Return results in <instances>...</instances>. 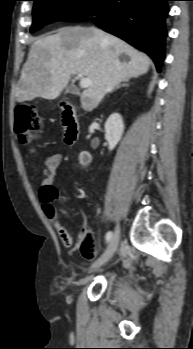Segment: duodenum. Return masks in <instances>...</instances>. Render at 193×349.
I'll list each match as a JSON object with an SVG mask.
<instances>
[{"instance_id":"obj_1","label":"duodenum","mask_w":193,"mask_h":349,"mask_svg":"<svg viewBox=\"0 0 193 349\" xmlns=\"http://www.w3.org/2000/svg\"><path fill=\"white\" fill-rule=\"evenodd\" d=\"M61 109L65 128L64 140L68 145H72L78 140L80 130L76 108L70 103L62 102Z\"/></svg>"}]
</instances>
